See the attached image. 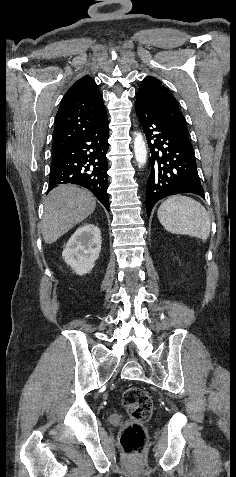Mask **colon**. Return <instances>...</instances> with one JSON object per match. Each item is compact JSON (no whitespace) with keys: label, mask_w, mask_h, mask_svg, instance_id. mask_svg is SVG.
<instances>
[{"label":"colon","mask_w":236,"mask_h":477,"mask_svg":"<svg viewBox=\"0 0 236 477\" xmlns=\"http://www.w3.org/2000/svg\"><path fill=\"white\" fill-rule=\"evenodd\" d=\"M122 402L130 422L120 433V443L130 458H139L143 452L146 433L143 424L149 420L153 411V402L148 393L140 387H129L122 395Z\"/></svg>","instance_id":"1"}]
</instances>
